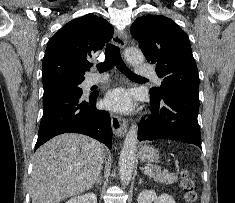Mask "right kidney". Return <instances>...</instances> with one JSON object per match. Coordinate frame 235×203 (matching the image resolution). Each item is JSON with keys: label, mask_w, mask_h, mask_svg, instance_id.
Masks as SVG:
<instances>
[{"label": "right kidney", "mask_w": 235, "mask_h": 203, "mask_svg": "<svg viewBox=\"0 0 235 203\" xmlns=\"http://www.w3.org/2000/svg\"><path fill=\"white\" fill-rule=\"evenodd\" d=\"M66 203H97V196L94 193H88L71 198Z\"/></svg>", "instance_id": "obj_1"}]
</instances>
